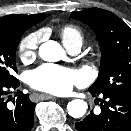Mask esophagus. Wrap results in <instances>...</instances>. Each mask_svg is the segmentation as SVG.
I'll return each instance as SVG.
<instances>
[{
  "label": "esophagus",
  "mask_w": 131,
  "mask_h": 131,
  "mask_svg": "<svg viewBox=\"0 0 131 131\" xmlns=\"http://www.w3.org/2000/svg\"><path fill=\"white\" fill-rule=\"evenodd\" d=\"M55 96L49 95V94H40L39 99L41 100H47V99H55Z\"/></svg>",
  "instance_id": "esophagus-1"
}]
</instances>
